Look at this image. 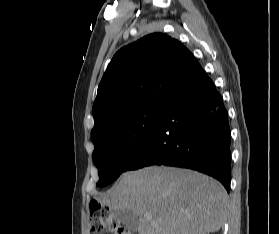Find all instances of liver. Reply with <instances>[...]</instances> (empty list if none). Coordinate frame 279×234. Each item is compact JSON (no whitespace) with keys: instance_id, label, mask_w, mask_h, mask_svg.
<instances>
[{"instance_id":"1","label":"liver","mask_w":279,"mask_h":234,"mask_svg":"<svg viewBox=\"0 0 279 234\" xmlns=\"http://www.w3.org/2000/svg\"><path fill=\"white\" fill-rule=\"evenodd\" d=\"M98 200L111 211L131 212L139 234L214 233L228 215V195L221 183L196 171L172 167L126 172Z\"/></svg>"}]
</instances>
